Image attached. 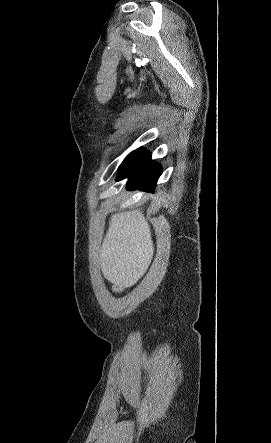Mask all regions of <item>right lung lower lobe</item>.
<instances>
[{"label": "right lung lower lobe", "mask_w": 271, "mask_h": 443, "mask_svg": "<svg viewBox=\"0 0 271 443\" xmlns=\"http://www.w3.org/2000/svg\"><path fill=\"white\" fill-rule=\"evenodd\" d=\"M160 175L161 166L151 160L149 152L139 148L120 165L117 181L129 177L128 190L147 188L152 191Z\"/></svg>", "instance_id": "1"}]
</instances>
